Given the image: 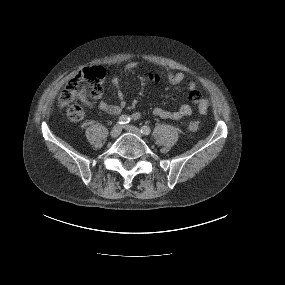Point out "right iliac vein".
I'll use <instances>...</instances> for the list:
<instances>
[{
    "mask_svg": "<svg viewBox=\"0 0 285 285\" xmlns=\"http://www.w3.org/2000/svg\"><path fill=\"white\" fill-rule=\"evenodd\" d=\"M121 131H122V126L120 124H116L112 128L110 135H111V137L116 138L120 135Z\"/></svg>",
    "mask_w": 285,
    "mask_h": 285,
    "instance_id": "63e3f726",
    "label": "right iliac vein"
}]
</instances>
